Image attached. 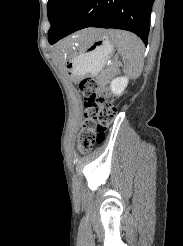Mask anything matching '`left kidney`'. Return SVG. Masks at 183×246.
<instances>
[{"instance_id": "left-kidney-1", "label": "left kidney", "mask_w": 183, "mask_h": 246, "mask_svg": "<svg viewBox=\"0 0 183 246\" xmlns=\"http://www.w3.org/2000/svg\"><path fill=\"white\" fill-rule=\"evenodd\" d=\"M128 82L129 79L127 77H117L113 79L110 83L111 92L116 96H120L127 87Z\"/></svg>"}]
</instances>
